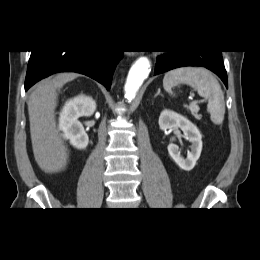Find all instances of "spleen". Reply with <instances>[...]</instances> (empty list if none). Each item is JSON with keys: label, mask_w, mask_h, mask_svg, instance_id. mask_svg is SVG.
I'll list each match as a JSON object with an SVG mask.
<instances>
[{"label": "spleen", "mask_w": 260, "mask_h": 260, "mask_svg": "<svg viewBox=\"0 0 260 260\" xmlns=\"http://www.w3.org/2000/svg\"><path fill=\"white\" fill-rule=\"evenodd\" d=\"M178 84H187L197 90L201 97L208 100L207 110L211 121L222 124L225 114L224 94L217 79L204 68L183 67L167 72L163 78V87L170 95Z\"/></svg>", "instance_id": "3e777b00"}]
</instances>
